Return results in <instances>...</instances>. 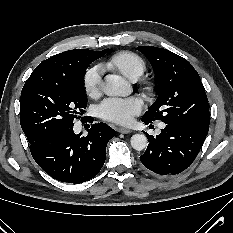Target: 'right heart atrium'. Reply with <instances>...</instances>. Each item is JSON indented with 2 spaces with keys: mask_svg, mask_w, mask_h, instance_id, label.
Returning a JSON list of instances; mask_svg holds the SVG:
<instances>
[{
  "mask_svg": "<svg viewBox=\"0 0 233 233\" xmlns=\"http://www.w3.org/2000/svg\"><path fill=\"white\" fill-rule=\"evenodd\" d=\"M103 70L99 66L89 68L83 78V87L86 94L95 98L101 93Z\"/></svg>",
  "mask_w": 233,
  "mask_h": 233,
  "instance_id": "right-heart-atrium-1",
  "label": "right heart atrium"
}]
</instances>
